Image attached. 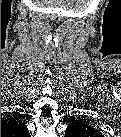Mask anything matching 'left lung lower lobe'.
Listing matches in <instances>:
<instances>
[{"instance_id": "left-lung-lower-lobe-1", "label": "left lung lower lobe", "mask_w": 121, "mask_h": 137, "mask_svg": "<svg viewBox=\"0 0 121 137\" xmlns=\"http://www.w3.org/2000/svg\"><path fill=\"white\" fill-rule=\"evenodd\" d=\"M66 133L69 134L70 132L67 130Z\"/></svg>"}]
</instances>
